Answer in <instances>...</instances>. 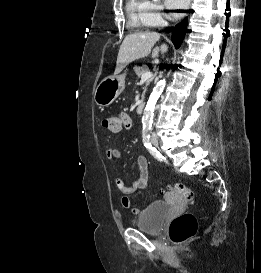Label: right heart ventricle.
<instances>
[{"mask_svg": "<svg viewBox=\"0 0 261 273\" xmlns=\"http://www.w3.org/2000/svg\"><path fill=\"white\" fill-rule=\"evenodd\" d=\"M126 10L129 23L134 29L148 30L154 27L147 0H127Z\"/></svg>", "mask_w": 261, "mask_h": 273, "instance_id": "right-heart-ventricle-1", "label": "right heart ventricle"}]
</instances>
